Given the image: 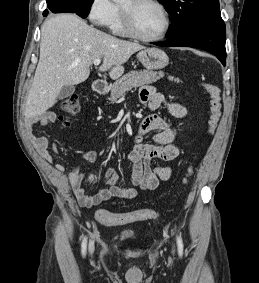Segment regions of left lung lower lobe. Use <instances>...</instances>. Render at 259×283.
I'll list each match as a JSON object with an SVG mask.
<instances>
[{
    "label": "left lung lower lobe",
    "instance_id": "0a47b994",
    "mask_svg": "<svg viewBox=\"0 0 259 283\" xmlns=\"http://www.w3.org/2000/svg\"><path fill=\"white\" fill-rule=\"evenodd\" d=\"M226 27L222 18L211 21L185 35L168 38L155 45L163 47L186 46L200 48L215 55L223 65L226 64Z\"/></svg>",
    "mask_w": 259,
    "mask_h": 283
}]
</instances>
